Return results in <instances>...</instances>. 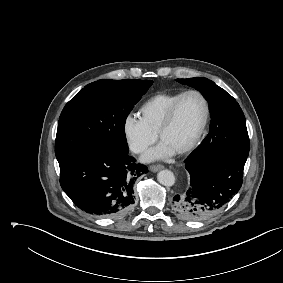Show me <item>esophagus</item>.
Masks as SVG:
<instances>
[{
	"label": "esophagus",
	"mask_w": 283,
	"mask_h": 283,
	"mask_svg": "<svg viewBox=\"0 0 283 283\" xmlns=\"http://www.w3.org/2000/svg\"><path fill=\"white\" fill-rule=\"evenodd\" d=\"M163 168H164V166L161 165V164L151 165V166H150V170H151L152 172H157L158 170H161V169H163Z\"/></svg>",
	"instance_id": "esophagus-1"
}]
</instances>
